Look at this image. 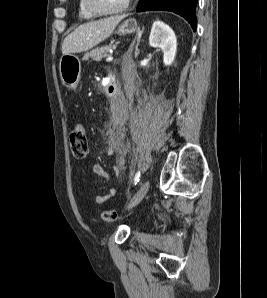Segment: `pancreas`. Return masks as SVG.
Returning <instances> with one entry per match:
<instances>
[{
  "label": "pancreas",
  "instance_id": "pancreas-1",
  "mask_svg": "<svg viewBox=\"0 0 267 298\" xmlns=\"http://www.w3.org/2000/svg\"><path fill=\"white\" fill-rule=\"evenodd\" d=\"M114 47L113 44H108L105 46L98 47L85 55V58H93L97 61L101 60L102 58L109 56V50Z\"/></svg>",
  "mask_w": 267,
  "mask_h": 298
}]
</instances>
